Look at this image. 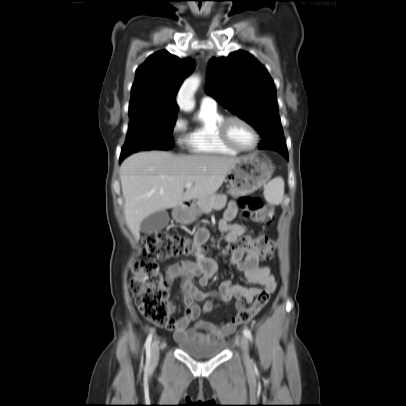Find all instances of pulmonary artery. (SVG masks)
<instances>
[{
  "mask_svg": "<svg viewBox=\"0 0 406 406\" xmlns=\"http://www.w3.org/2000/svg\"><path fill=\"white\" fill-rule=\"evenodd\" d=\"M200 106L201 107H216L217 106V102L215 99H213L212 97L209 96H203L200 99Z\"/></svg>",
  "mask_w": 406,
  "mask_h": 406,
  "instance_id": "1",
  "label": "pulmonary artery"
}]
</instances>
